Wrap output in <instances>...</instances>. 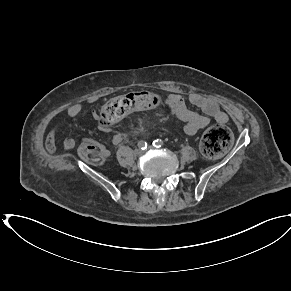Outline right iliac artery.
<instances>
[{"mask_svg":"<svg viewBox=\"0 0 291 291\" xmlns=\"http://www.w3.org/2000/svg\"><path fill=\"white\" fill-rule=\"evenodd\" d=\"M138 147H139L140 149H142V150H145V149H147L148 144H147V142H145V141H140V142L138 143Z\"/></svg>","mask_w":291,"mask_h":291,"instance_id":"1","label":"right iliac artery"}]
</instances>
